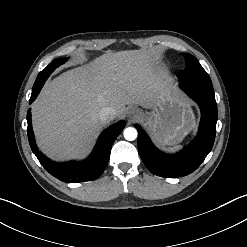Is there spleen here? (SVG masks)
I'll return each instance as SVG.
<instances>
[{"label": "spleen", "mask_w": 247, "mask_h": 247, "mask_svg": "<svg viewBox=\"0 0 247 247\" xmlns=\"http://www.w3.org/2000/svg\"><path fill=\"white\" fill-rule=\"evenodd\" d=\"M179 148H180V146H176V147H174V148H168V150H169L170 152H173V151L178 150Z\"/></svg>", "instance_id": "1"}]
</instances>
